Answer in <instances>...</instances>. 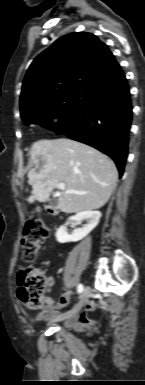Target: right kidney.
<instances>
[{"label":"right kidney","mask_w":145,"mask_h":385,"mask_svg":"<svg viewBox=\"0 0 145 385\" xmlns=\"http://www.w3.org/2000/svg\"><path fill=\"white\" fill-rule=\"evenodd\" d=\"M101 218L100 211H81L76 215L69 217V221L81 222L87 220V224L82 228L75 229L71 235L66 232V225L60 226L55 234L56 240L59 243L77 242L86 237L99 223Z\"/></svg>","instance_id":"1"}]
</instances>
